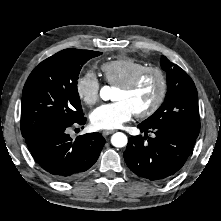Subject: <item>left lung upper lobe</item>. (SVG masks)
<instances>
[{
	"instance_id": "obj_1",
	"label": "left lung upper lobe",
	"mask_w": 221,
	"mask_h": 221,
	"mask_svg": "<svg viewBox=\"0 0 221 221\" xmlns=\"http://www.w3.org/2000/svg\"><path fill=\"white\" fill-rule=\"evenodd\" d=\"M160 63L167 75V95L161 107L142 123L149 127L175 128L197 138L200 118L195 84L184 70L165 56H162Z\"/></svg>"
}]
</instances>
